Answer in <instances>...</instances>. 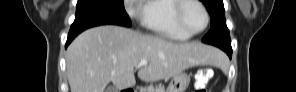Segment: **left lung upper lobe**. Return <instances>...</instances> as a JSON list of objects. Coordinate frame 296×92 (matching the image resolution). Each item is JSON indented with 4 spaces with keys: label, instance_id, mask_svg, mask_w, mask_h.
<instances>
[{
    "label": "left lung upper lobe",
    "instance_id": "left-lung-upper-lobe-1",
    "mask_svg": "<svg viewBox=\"0 0 296 92\" xmlns=\"http://www.w3.org/2000/svg\"><path fill=\"white\" fill-rule=\"evenodd\" d=\"M210 14L211 29L202 41L207 44L231 47L229 30L226 26L223 0H201Z\"/></svg>",
    "mask_w": 296,
    "mask_h": 92
}]
</instances>
